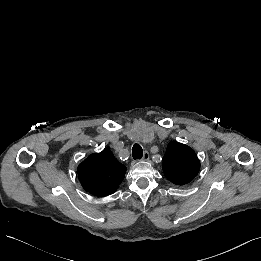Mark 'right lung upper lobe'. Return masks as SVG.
<instances>
[{"label":"right lung upper lobe","instance_id":"cb5924a9","mask_svg":"<svg viewBox=\"0 0 261 261\" xmlns=\"http://www.w3.org/2000/svg\"><path fill=\"white\" fill-rule=\"evenodd\" d=\"M78 178L89 193L103 197L113 194L122 182L126 167L109 149L91 154L78 166Z\"/></svg>","mask_w":261,"mask_h":261}]
</instances>
